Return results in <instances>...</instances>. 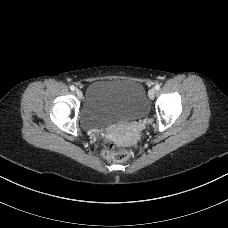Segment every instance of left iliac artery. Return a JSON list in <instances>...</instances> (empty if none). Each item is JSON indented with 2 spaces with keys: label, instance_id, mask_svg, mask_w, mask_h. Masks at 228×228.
<instances>
[{
  "label": "left iliac artery",
  "instance_id": "1",
  "mask_svg": "<svg viewBox=\"0 0 228 228\" xmlns=\"http://www.w3.org/2000/svg\"><path fill=\"white\" fill-rule=\"evenodd\" d=\"M155 89H156V90H159V89H160V85H159V84H156V85H155Z\"/></svg>",
  "mask_w": 228,
  "mask_h": 228
}]
</instances>
